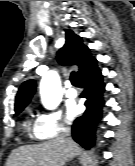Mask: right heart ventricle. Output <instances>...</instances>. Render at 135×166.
I'll return each mask as SVG.
<instances>
[{
	"mask_svg": "<svg viewBox=\"0 0 135 166\" xmlns=\"http://www.w3.org/2000/svg\"><path fill=\"white\" fill-rule=\"evenodd\" d=\"M28 120H26L25 122H24V124H25V126H28Z\"/></svg>",
	"mask_w": 135,
	"mask_h": 166,
	"instance_id": "e07e8e85",
	"label": "right heart ventricle"
}]
</instances>
